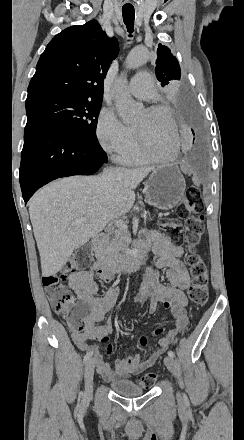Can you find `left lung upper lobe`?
Returning <instances> with one entry per match:
<instances>
[{
    "mask_svg": "<svg viewBox=\"0 0 244 440\" xmlns=\"http://www.w3.org/2000/svg\"><path fill=\"white\" fill-rule=\"evenodd\" d=\"M156 60V77L161 86H167L175 80H180L181 70L176 57H174L170 49L162 44L158 45Z\"/></svg>",
    "mask_w": 244,
    "mask_h": 440,
    "instance_id": "1",
    "label": "left lung upper lobe"
}]
</instances>
